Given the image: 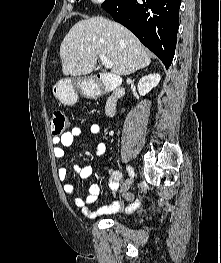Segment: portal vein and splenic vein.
<instances>
[{"mask_svg":"<svg viewBox=\"0 0 221 263\" xmlns=\"http://www.w3.org/2000/svg\"><path fill=\"white\" fill-rule=\"evenodd\" d=\"M99 58L102 61V64L105 68H111L113 63L110 61L104 54H99Z\"/></svg>","mask_w":221,"mask_h":263,"instance_id":"obj_1","label":"portal vein and splenic vein"}]
</instances>
